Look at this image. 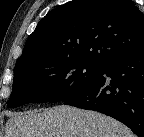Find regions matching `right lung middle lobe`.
Here are the masks:
<instances>
[{"instance_id": "obj_1", "label": "right lung middle lobe", "mask_w": 144, "mask_h": 137, "mask_svg": "<svg viewBox=\"0 0 144 137\" xmlns=\"http://www.w3.org/2000/svg\"><path fill=\"white\" fill-rule=\"evenodd\" d=\"M102 64L80 58L34 62L15 67L13 90L7 105L65 101L103 72Z\"/></svg>"}]
</instances>
